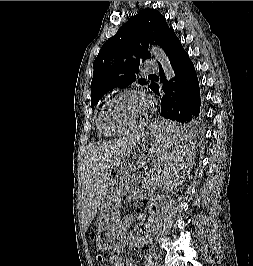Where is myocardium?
Listing matches in <instances>:
<instances>
[{"label":"myocardium","instance_id":"1","mask_svg":"<svg viewBox=\"0 0 253 266\" xmlns=\"http://www.w3.org/2000/svg\"><path fill=\"white\" fill-rule=\"evenodd\" d=\"M128 94H133V95H139L143 97L144 99L147 100L148 105H149V110L146 116L144 117L143 120H141L139 123L135 124L134 126L127 128V129H122V130H112L106 127L104 123V114L107 109V107L114 102L116 99H118L121 96L128 95ZM153 112V107L151 102L147 99L146 95L137 89H124L118 93H116L114 96H112L100 109L99 114H98V123L100 126L101 131L108 135V136H117V135H123V134H129L139 128H142L148 121Z\"/></svg>","mask_w":253,"mask_h":266}]
</instances>
